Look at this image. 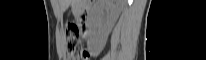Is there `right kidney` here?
<instances>
[{
    "instance_id": "obj_1",
    "label": "right kidney",
    "mask_w": 206,
    "mask_h": 60,
    "mask_svg": "<svg viewBox=\"0 0 206 60\" xmlns=\"http://www.w3.org/2000/svg\"><path fill=\"white\" fill-rule=\"evenodd\" d=\"M103 9L109 10V22L107 26H102L99 20V12ZM121 11V4L113 2L112 0H104L99 3L94 9L93 17L91 20V36L92 42L98 47L102 48L107 40L108 34L114 26Z\"/></svg>"
}]
</instances>
